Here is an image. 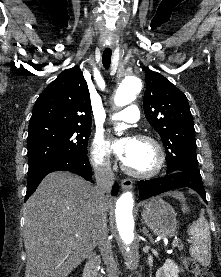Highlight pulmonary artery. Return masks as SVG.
Segmentation results:
<instances>
[{"mask_svg": "<svg viewBox=\"0 0 221 277\" xmlns=\"http://www.w3.org/2000/svg\"><path fill=\"white\" fill-rule=\"evenodd\" d=\"M140 118V111L136 105H129L125 109L113 114L111 119L124 121L127 123H135Z\"/></svg>", "mask_w": 221, "mask_h": 277, "instance_id": "pulmonary-artery-1", "label": "pulmonary artery"}]
</instances>
